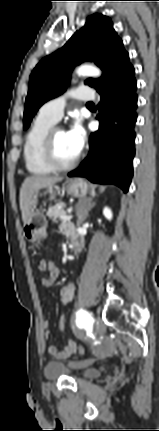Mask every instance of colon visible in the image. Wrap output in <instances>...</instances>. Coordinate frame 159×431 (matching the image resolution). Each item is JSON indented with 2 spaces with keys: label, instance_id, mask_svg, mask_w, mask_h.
Wrapping results in <instances>:
<instances>
[{
  "label": "colon",
  "instance_id": "5ec220e1",
  "mask_svg": "<svg viewBox=\"0 0 159 431\" xmlns=\"http://www.w3.org/2000/svg\"><path fill=\"white\" fill-rule=\"evenodd\" d=\"M47 267H48V272L53 273L56 270L55 267V262L53 257H48L47 259ZM49 283L50 284H55L56 283V278L55 277H50L49 278ZM67 319H68V314L67 313H62L61 314V318L59 321V325H58V333L59 334H64L65 333V326L67 325ZM84 354V346L83 345H79V350H78V357L81 358Z\"/></svg>",
  "mask_w": 159,
  "mask_h": 431
}]
</instances>
